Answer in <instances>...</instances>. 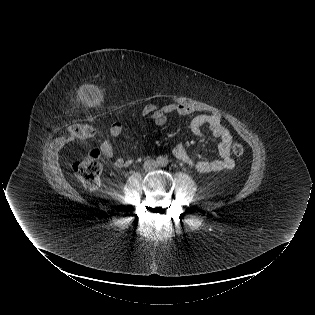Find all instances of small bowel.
Wrapping results in <instances>:
<instances>
[{"mask_svg":"<svg viewBox=\"0 0 315 315\" xmlns=\"http://www.w3.org/2000/svg\"><path fill=\"white\" fill-rule=\"evenodd\" d=\"M193 111L190 106L183 103H171L162 107L147 104L142 110V115L154 125L162 126L167 122L169 114L187 116ZM204 126H208L209 133L203 131ZM190 130L195 136L216 143L220 158L195 161L189 156L186 148L182 144H178L172 150L176 159L195 167L199 173L219 172L234 168L235 162L231 157L232 136L228 128L222 123L218 113L195 115L190 121ZM122 132V123L114 122L111 124L109 129L111 137L117 138ZM100 149L106 159L113 160V165L116 168H124L132 163L130 158L115 157L114 148L109 138L102 142Z\"/></svg>","mask_w":315,"mask_h":315,"instance_id":"1","label":"small bowel"}]
</instances>
